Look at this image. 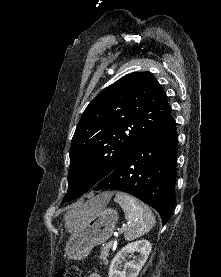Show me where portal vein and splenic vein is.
<instances>
[{"label": "portal vein and splenic vein", "instance_id": "portal-vein-and-splenic-vein-1", "mask_svg": "<svg viewBox=\"0 0 221 277\" xmlns=\"http://www.w3.org/2000/svg\"><path fill=\"white\" fill-rule=\"evenodd\" d=\"M116 234H117V233H115V235H116ZM112 246H113V241H110V242H108V243L106 244L105 248H106V249H110Z\"/></svg>", "mask_w": 221, "mask_h": 277}]
</instances>
